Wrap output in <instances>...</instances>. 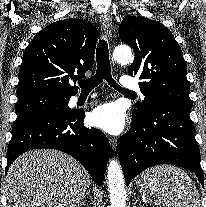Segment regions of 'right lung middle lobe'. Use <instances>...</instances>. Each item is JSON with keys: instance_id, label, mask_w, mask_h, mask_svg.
I'll list each match as a JSON object with an SVG mask.
<instances>
[{"instance_id": "dd1d6c3e", "label": "right lung middle lobe", "mask_w": 206, "mask_h": 207, "mask_svg": "<svg viewBox=\"0 0 206 207\" xmlns=\"http://www.w3.org/2000/svg\"><path fill=\"white\" fill-rule=\"evenodd\" d=\"M70 97L71 95L43 93L18 98L15 123L40 116H56L71 113L72 110L68 107Z\"/></svg>"}]
</instances>
